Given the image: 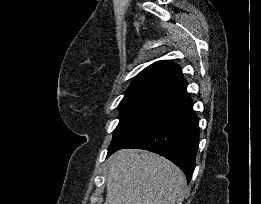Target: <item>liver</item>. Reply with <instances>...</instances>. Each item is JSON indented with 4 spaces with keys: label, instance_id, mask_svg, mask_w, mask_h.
Listing matches in <instances>:
<instances>
[{
    "label": "liver",
    "instance_id": "liver-1",
    "mask_svg": "<svg viewBox=\"0 0 261 204\" xmlns=\"http://www.w3.org/2000/svg\"><path fill=\"white\" fill-rule=\"evenodd\" d=\"M106 185L104 204H177L186 178L158 154L126 149L109 159Z\"/></svg>",
    "mask_w": 261,
    "mask_h": 204
}]
</instances>
